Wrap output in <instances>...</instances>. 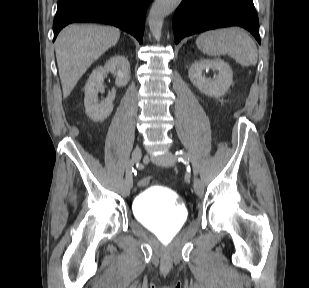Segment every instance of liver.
I'll return each mask as SVG.
<instances>
[{
    "instance_id": "obj_1",
    "label": "liver",
    "mask_w": 309,
    "mask_h": 288,
    "mask_svg": "<svg viewBox=\"0 0 309 288\" xmlns=\"http://www.w3.org/2000/svg\"><path fill=\"white\" fill-rule=\"evenodd\" d=\"M119 38V29L100 25L72 24L59 33L55 52L64 98L91 64L116 45Z\"/></svg>"
}]
</instances>
